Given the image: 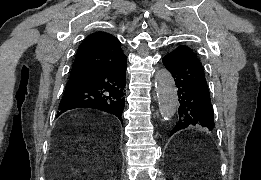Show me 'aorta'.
Returning a JSON list of instances; mask_svg holds the SVG:
<instances>
[{
	"instance_id": "aorta-1",
	"label": "aorta",
	"mask_w": 261,
	"mask_h": 180,
	"mask_svg": "<svg viewBox=\"0 0 261 180\" xmlns=\"http://www.w3.org/2000/svg\"><path fill=\"white\" fill-rule=\"evenodd\" d=\"M155 90L161 116L165 120L172 118L179 107V102L175 81L168 70L161 69L157 72Z\"/></svg>"
}]
</instances>
